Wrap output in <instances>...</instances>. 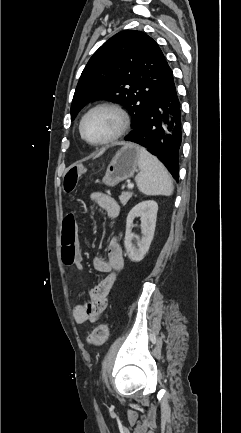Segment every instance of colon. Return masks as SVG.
Masks as SVG:
<instances>
[{"label": "colon", "instance_id": "5ec220e1", "mask_svg": "<svg viewBox=\"0 0 241 433\" xmlns=\"http://www.w3.org/2000/svg\"><path fill=\"white\" fill-rule=\"evenodd\" d=\"M80 167L81 164L79 161H72L71 164L68 165V172L64 173L63 180L60 183V192L62 195H71L73 190L78 189L80 183L79 178L87 176V169ZM77 220V212L62 213L60 223L64 228L61 236V257L65 265H73L76 260V252L81 249L79 244L80 231L76 229ZM108 335L109 323L102 322L88 336L87 342L91 346H100L107 339Z\"/></svg>", "mask_w": 241, "mask_h": 433}]
</instances>
